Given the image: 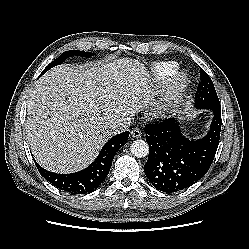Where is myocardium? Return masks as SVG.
Wrapping results in <instances>:
<instances>
[{
  "label": "myocardium",
  "mask_w": 249,
  "mask_h": 249,
  "mask_svg": "<svg viewBox=\"0 0 249 249\" xmlns=\"http://www.w3.org/2000/svg\"><path fill=\"white\" fill-rule=\"evenodd\" d=\"M189 83V75L185 71L176 70L165 83L164 92L155 107V114L161 116L171 111L182 99Z\"/></svg>",
  "instance_id": "myocardium-1"
}]
</instances>
